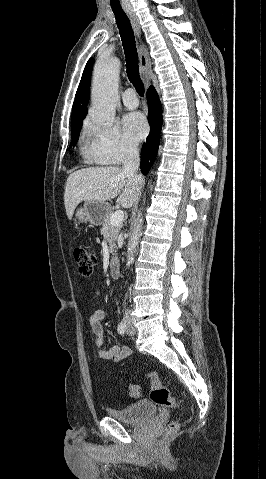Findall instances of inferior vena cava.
Instances as JSON below:
<instances>
[{"instance_id":"602c4592","label":"inferior vena cava","mask_w":266,"mask_h":479,"mask_svg":"<svg viewBox=\"0 0 266 479\" xmlns=\"http://www.w3.org/2000/svg\"><path fill=\"white\" fill-rule=\"evenodd\" d=\"M140 165V157L138 147L136 145L130 144L127 146L124 157H123V167L122 170L124 173L131 175H138L137 171ZM129 310H125V316L128 317Z\"/></svg>"}]
</instances>
